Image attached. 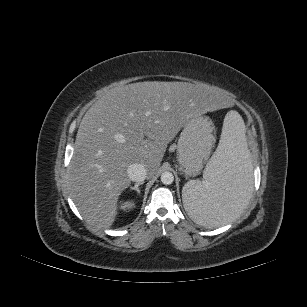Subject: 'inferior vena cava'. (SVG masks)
<instances>
[{
  "label": "inferior vena cava",
  "instance_id": "602c4592",
  "mask_svg": "<svg viewBox=\"0 0 307 307\" xmlns=\"http://www.w3.org/2000/svg\"><path fill=\"white\" fill-rule=\"evenodd\" d=\"M127 174L131 181L142 182L146 178L147 170L144 165L139 163H133L128 166Z\"/></svg>",
  "mask_w": 307,
  "mask_h": 307
}]
</instances>
